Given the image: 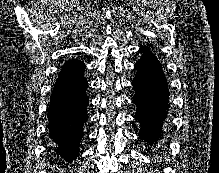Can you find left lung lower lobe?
I'll return each instance as SVG.
<instances>
[{
    "instance_id": "left-lung-lower-lobe-1",
    "label": "left lung lower lobe",
    "mask_w": 219,
    "mask_h": 173,
    "mask_svg": "<svg viewBox=\"0 0 219 173\" xmlns=\"http://www.w3.org/2000/svg\"><path fill=\"white\" fill-rule=\"evenodd\" d=\"M142 57L136 62L133 102L137 106L136 120L140 123L139 137L151 145L162 135L163 124L169 108V89L157 57L142 46Z\"/></svg>"
}]
</instances>
